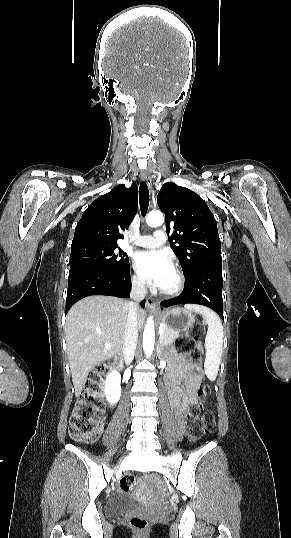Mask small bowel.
<instances>
[{"label":"small bowel","mask_w":291,"mask_h":538,"mask_svg":"<svg viewBox=\"0 0 291 538\" xmlns=\"http://www.w3.org/2000/svg\"><path fill=\"white\" fill-rule=\"evenodd\" d=\"M198 381V371L186 360L177 357L172 362L171 368L166 375V383L169 388V398L180 422L187 407L197 403L196 390ZM180 382H184V389L180 388ZM190 439L195 440L194 437H190Z\"/></svg>","instance_id":"obj_1"}]
</instances>
